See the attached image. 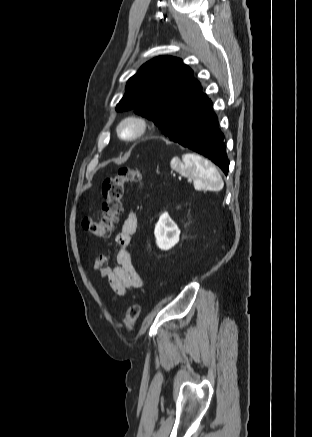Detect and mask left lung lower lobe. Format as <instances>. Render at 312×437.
Listing matches in <instances>:
<instances>
[{"label":"left lung lower lobe","mask_w":312,"mask_h":437,"mask_svg":"<svg viewBox=\"0 0 312 437\" xmlns=\"http://www.w3.org/2000/svg\"><path fill=\"white\" fill-rule=\"evenodd\" d=\"M223 140L224 135L218 129L217 116L212 111V102L209 99L182 131L171 139L209 158L227 175L229 160Z\"/></svg>","instance_id":"left-lung-lower-lobe-1"}]
</instances>
